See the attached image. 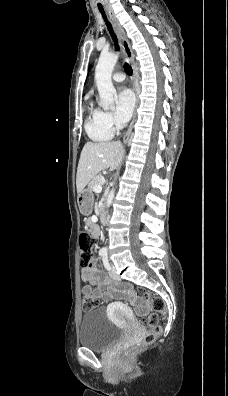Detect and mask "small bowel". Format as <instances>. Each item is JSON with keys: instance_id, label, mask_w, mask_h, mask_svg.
Here are the masks:
<instances>
[{"instance_id": "c3829d8e", "label": "small bowel", "mask_w": 228, "mask_h": 396, "mask_svg": "<svg viewBox=\"0 0 228 396\" xmlns=\"http://www.w3.org/2000/svg\"><path fill=\"white\" fill-rule=\"evenodd\" d=\"M86 227L90 230L93 238L98 236V228L93 224L92 220L87 221ZM82 280L85 282L82 288L83 294H92L105 302L116 299V305L127 310L129 309L128 306L121 300H128L134 307L136 314L141 315L146 312V308L141 304L140 299L131 287L128 284L116 283L110 280L98 269L96 261L89 268L82 271ZM92 285L96 287L93 288Z\"/></svg>"}]
</instances>
